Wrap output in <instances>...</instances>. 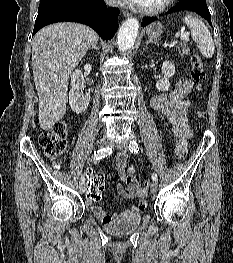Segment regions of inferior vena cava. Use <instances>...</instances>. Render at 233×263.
<instances>
[{
    "instance_id": "602c4592",
    "label": "inferior vena cava",
    "mask_w": 233,
    "mask_h": 263,
    "mask_svg": "<svg viewBox=\"0 0 233 263\" xmlns=\"http://www.w3.org/2000/svg\"><path fill=\"white\" fill-rule=\"evenodd\" d=\"M107 5L112 6L115 3V0H106Z\"/></svg>"
}]
</instances>
